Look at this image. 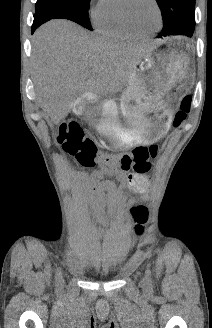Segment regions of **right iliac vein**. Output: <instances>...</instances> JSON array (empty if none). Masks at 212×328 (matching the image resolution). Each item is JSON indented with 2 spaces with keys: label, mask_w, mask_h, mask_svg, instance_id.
<instances>
[{
  "label": "right iliac vein",
  "mask_w": 212,
  "mask_h": 328,
  "mask_svg": "<svg viewBox=\"0 0 212 328\" xmlns=\"http://www.w3.org/2000/svg\"><path fill=\"white\" fill-rule=\"evenodd\" d=\"M58 283H59L60 285H62V283H63V277H62V276H60V278H59V280H58Z\"/></svg>",
  "instance_id": "1"
}]
</instances>
